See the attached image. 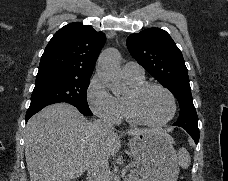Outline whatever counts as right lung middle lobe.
Segmentation results:
<instances>
[{
    "instance_id": "1",
    "label": "right lung middle lobe",
    "mask_w": 228,
    "mask_h": 181,
    "mask_svg": "<svg viewBox=\"0 0 228 181\" xmlns=\"http://www.w3.org/2000/svg\"><path fill=\"white\" fill-rule=\"evenodd\" d=\"M89 78H73L62 75L37 77L29 108L44 107L66 102L75 106L82 114L91 116L86 92Z\"/></svg>"
}]
</instances>
